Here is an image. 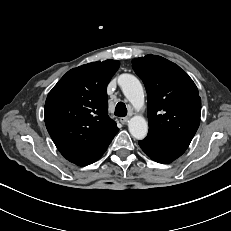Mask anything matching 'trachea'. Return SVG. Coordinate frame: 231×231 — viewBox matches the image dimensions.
<instances>
[{
  "label": "trachea",
  "mask_w": 231,
  "mask_h": 231,
  "mask_svg": "<svg viewBox=\"0 0 231 231\" xmlns=\"http://www.w3.org/2000/svg\"><path fill=\"white\" fill-rule=\"evenodd\" d=\"M114 114L119 117H125L127 115L126 105L123 102H119L115 107Z\"/></svg>",
  "instance_id": "obj_1"
}]
</instances>
